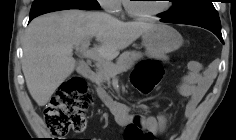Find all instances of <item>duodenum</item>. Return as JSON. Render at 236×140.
<instances>
[{
	"instance_id": "obj_1",
	"label": "duodenum",
	"mask_w": 236,
	"mask_h": 140,
	"mask_svg": "<svg viewBox=\"0 0 236 140\" xmlns=\"http://www.w3.org/2000/svg\"><path fill=\"white\" fill-rule=\"evenodd\" d=\"M78 69L86 77H92V71L84 59L79 62ZM101 99L104 104L112 110L113 115L118 122H124L130 117V111L123 104L113 101L106 96L103 91H101Z\"/></svg>"
}]
</instances>
